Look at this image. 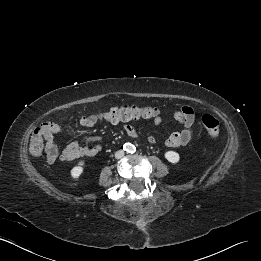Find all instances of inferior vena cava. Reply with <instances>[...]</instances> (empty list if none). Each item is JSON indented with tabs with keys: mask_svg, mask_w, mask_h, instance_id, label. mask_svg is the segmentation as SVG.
Listing matches in <instances>:
<instances>
[{
	"mask_svg": "<svg viewBox=\"0 0 261 261\" xmlns=\"http://www.w3.org/2000/svg\"><path fill=\"white\" fill-rule=\"evenodd\" d=\"M123 156H124V151H123V150H118V151L115 153V158H116V159H121Z\"/></svg>",
	"mask_w": 261,
	"mask_h": 261,
	"instance_id": "602c4592",
	"label": "inferior vena cava"
}]
</instances>
